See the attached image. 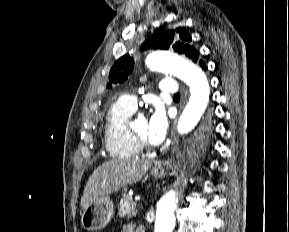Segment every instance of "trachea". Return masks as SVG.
Instances as JSON below:
<instances>
[{
    "instance_id": "obj_1",
    "label": "trachea",
    "mask_w": 289,
    "mask_h": 232,
    "mask_svg": "<svg viewBox=\"0 0 289 232\" xmlns=\"http://www.w3.org/2000/svg\"><path fill=\"white\" fill-rule=\"evenodd\" d=\"M173 98H180V94H179V93L175 94V95L173 96Z\"/></svg>"
}]
</instances>
